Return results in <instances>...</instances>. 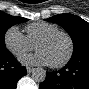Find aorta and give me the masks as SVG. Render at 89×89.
Masks as SVG:
<instances>
[{"label":"aorta","instance_id":"762f6f07","mask_svg":"<svg viewBox=\"0 0 89 89\" xmlns=\"http://www.w3.org/2000/svg\"><path fill=\"white\" fill-rule=\"evenodd\" d=\"M31 77L35 82L41 83L46 78V71L44 69H42V68H35L32 71Z\"/></svg>","mask_w":89,"mask_h":89}]
</instances>
